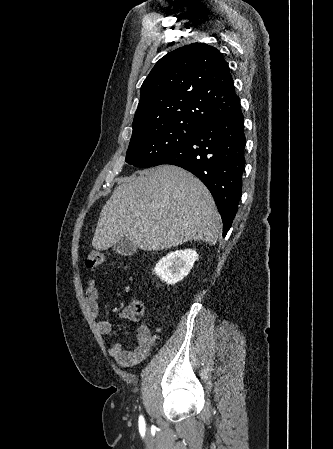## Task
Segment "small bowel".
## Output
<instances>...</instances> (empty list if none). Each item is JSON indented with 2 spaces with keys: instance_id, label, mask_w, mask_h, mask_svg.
I'll return each mask as SVG.
<instances>
[{
  "instance_id": "c3829d8e",
  "label": "small bowel",
  "mask_w": 333,
  "mask_h": 449,
  "mask_svg": "<svg viewBox=\"0 0 333 449\" xmlns=\"http://www.w3.org/2000/svg\"><path fill=\"white\" fill-rule=\"evenodd\" d=\"M86 300L88 311L96 322L98 332L102 335L109 334L112 329L110 321L100 318L99 290L96 279H91L86 285ZM118 316L131 321L137 320L131 307L124 308ZM157 340V336L151 333L148 326L141 325L136 330V345L133 349L127 350L121 343L114 342L108 346V354L123 367L135 366L150 355Z\"/></svg>"
}]
</instances>
